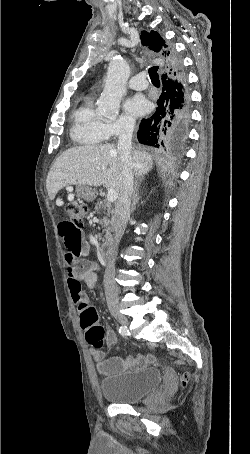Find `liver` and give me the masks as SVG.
<instances>
[{"instance_id": "6515ba94", "label": "liver", "mask_w": 250, "mask_h": 454, "mask_svg": "<svg viewBox=\"0 0 250 454\" xmlns=\"http://www.w3.org/2000/svg\"><path fill=\"white\" fill-rule=\"evenodd\" d=\"M133 173L142 177L152 168V159L145 151H132ZM122 163L115 145H89L64 151L53 163L46 179L50 199L66 186L103 185L114 189L118 196L121 189ZM117 196V197H118Z\"/></svg>"}]
</instances>
